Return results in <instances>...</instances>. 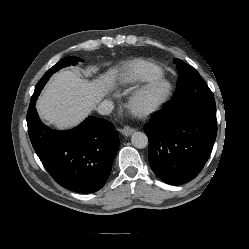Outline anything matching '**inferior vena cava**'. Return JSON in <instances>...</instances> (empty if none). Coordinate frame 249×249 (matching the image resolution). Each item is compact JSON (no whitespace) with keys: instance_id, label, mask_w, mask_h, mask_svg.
<instances>
[{"instance_id":"1","label":"inferior vena cava","mask_w":249,"mask_h":249,"mask_svg":"<svg viewBox=\"0 0 249 249\" xmlns=\"http://www.w3.org/2000/svg\"><path fill=\"white\" fill-rule=\"evenodd\" d=\"M113 108H114V104L112 101L104 100L98 105L97 111L98 113L102 115H108L112 112Z\"/></svg>"}]
</instances>
